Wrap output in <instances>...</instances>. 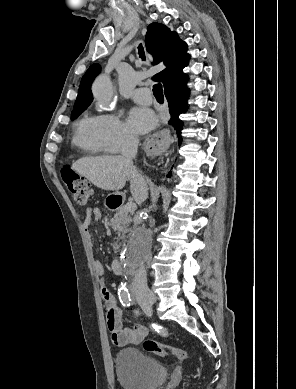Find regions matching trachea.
<instances>
[{
	"instance_id": "3493384b",
	"label": "trachea",
	"mask_w": 296,
	"mask_h": 389,
	"mask_svg": "<svg viewBox=\"0 0 296 389\" xmlns=\"http://www.w3.org/2000/svg\"><path fill=\"white\" fill-rule=\"evenodd\" d=\"M138 53H139L140 58H142V60H145V52H144L142 44H140L138 46ZM153 94H154V96L156 97L157 100H163L164 99L163 89H162V85L161 84H155L153 86Z\"/></svg>"
}]
</instances>
